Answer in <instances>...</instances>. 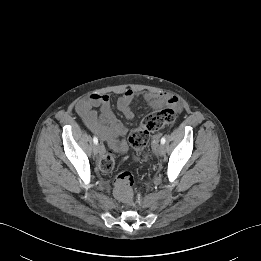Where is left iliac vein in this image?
<instances>
[{"label":"left iliac vein","instance_id":"4c4485c4","mask_svg":"<svg viewBox=\"0 0 261 261\" xmlns=\"http://www.w3.org/2000/svg\"><path fill=\"white\" fill-rule=\"evenodd\" d=\"M155 151L158 155L162 156L165 153V147L163 144H158L155 146Z\"/></svg>","mask_w":261,"mask_h":261}]
</instances>
